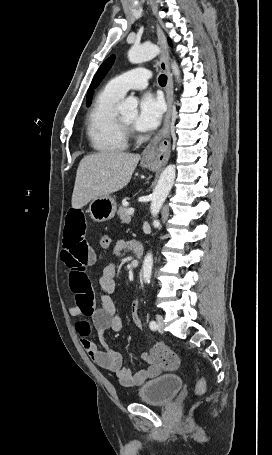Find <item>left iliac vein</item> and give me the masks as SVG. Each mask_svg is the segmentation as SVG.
Listing matches in <instances>:
<instances>
[{"instance_id": "obj_1", "label": "left iliac vein", "mask_w": 272, "mask_h": 455, "mask_svg": "<svg viewBox=\"0 0 272 455\" xmlns=\"http://www.w3.org/2000/svg\"><path fill=\"white\" fill-rule=\"evenodd\" d=\"M157 320V330L161 333L164 332V322H163V317L161 315L156 316Z\"/></svg>"}]
</instances>
